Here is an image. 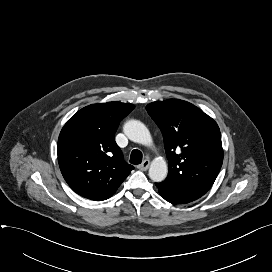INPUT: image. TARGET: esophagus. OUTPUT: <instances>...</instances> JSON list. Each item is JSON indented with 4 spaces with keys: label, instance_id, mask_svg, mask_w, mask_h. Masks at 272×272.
Listing matches in <instances>:
<instances>
[{
    "label": "esophagus",
    "instance_id": "esophagus-1",
    "mask_svg": "<svg viewBox=\"0 0 272 272\" xmlns=\"http://www.w3.org/2000/svg\"><path fill=\"white\" fill-rule=\"evenodd\" d=\"M150 166V160L146 159L138 166V169L142 171H146Z\"/></svg>",
    "mask_w": 272,
    "mask_h": 272
}]
</instances>
